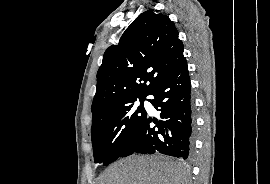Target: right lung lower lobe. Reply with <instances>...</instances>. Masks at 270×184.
<instances>
[{
	"label": "right lung lower lobe",
	"instance_id": "1",
	"mask_svg": "<svg viewBox=\"0 0 270 184\" xmlns=\"http://www.w3.org/2000/svg\"><path fill=\"white\" fill-rule=\"evenodd\" d=\"M191 85L186 59H183L164 79L157 83L148 95L156 110L161 111L165 121L151 118L142 122L132 140L125 146L119 157L133 153H162L187 159L193 148V121Z\"/></svg>",
	"mask_w": 270,
	"mask_h": 184
}]
</instances>
